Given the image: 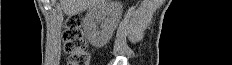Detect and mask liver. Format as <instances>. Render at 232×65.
<instances>
[{"label":"liver","mask_w":232,"mask_h":65,"mask_svg":"<svg viewBox=\"0 0 232 65\" xmlns=\"http://www.w3.org/2000/svg\"><path fill=\"white\" fill-rule=\"evenodd\" d=\"M101 0H60L62 9L67 15H74L100 3Z\"/></svg>","instance_id":"6515ba94"}]
</instances>
